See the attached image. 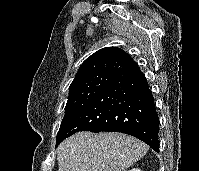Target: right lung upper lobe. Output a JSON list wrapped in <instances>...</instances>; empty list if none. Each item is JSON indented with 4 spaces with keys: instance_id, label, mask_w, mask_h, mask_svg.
<instances>
[{
    "instance_id": "obj_1",
    "label": "right lung upper lobe",
    "mask_w": 199,
    "mask_h": 171,
    "mask_svg": "<svg viewBox=\"0 0 199 171\" xmlns=\"http://www.w3.org/2000/svg\"><path fill=\"white\" fill-rule=\"evenodd\" d=\"M135 65L137 64L130 55L120 48L100 49L82 63L70 89L93 76L102 74L116 76Z\"/></svg>"
}]
</instances>
